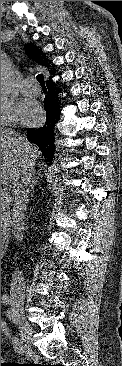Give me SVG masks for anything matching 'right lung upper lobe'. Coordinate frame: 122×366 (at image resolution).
Instances as JSON below:
<instances>
[{"mask_svg":"<svg viewBox=\"0 0 122 366\" xmlns=\"http://www.w3.org/2000/svg\"><path fill=\"white\" fill-rule=\"evenodd\" d=\"M25 51L27 55L34 60L37 64L49 67L50 63L48 62L45 54L33 43L27 44ZM52 73V71H50ZM51 81V77L50 80Z\"/></svg>","mask_w":122,"mask_h":366,"instance_id":"obj_1","label":"right lung upper lobe"}]
</instances>
